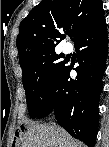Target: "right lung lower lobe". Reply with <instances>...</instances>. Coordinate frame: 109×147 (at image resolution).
Instances as JSON below:
<instances>
[{
	"mask_svg": "<svg viewBox=\"0 0 109 147\" xmlns=\"http://www.w3.org/2000/svg\"><path fill=\"white\" fill-rule=\"evenodd\" d=\"M108 35L104 16L75 42L79 66L75 80L72 66L63 68L38 114L42 118L54 112L57 122L71 136L93 147L98 132V102L102 75L108 55Z\"/></svg>",
	"mask_w": 109,
	"mask_h": 147,
	"instance_id": "98d812e1",
	"label": "right lung lower lobe"
}]
</instances>
